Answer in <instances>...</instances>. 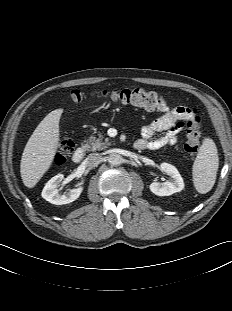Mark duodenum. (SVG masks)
Wrapping results in <instances>:
<instances>
[{"label":"duodenum","instance_id":"obj_1","mask_svg":"<svg viewBox=\"0 0 232 311\" xmlns=\"http://www.w3.org/2000/svg\"><path fill=\"white\" fill-rule=\"evenodd\" d=\"M135 148L140 150L138 142L135 143ZM84 155H85V149L83 147L77 148L72 154L73 162L80 163L83 160Z\"/></svg>","mask_w":232,"mask_h":311}]
</instances>
